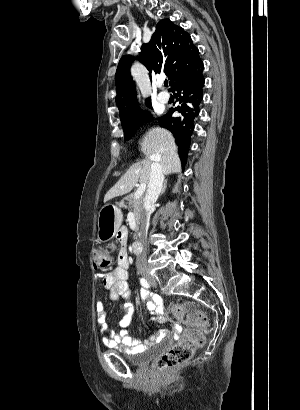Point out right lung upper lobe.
<instances>
[{"instance_id":"right-lung-upper-lobe-1","label":"right lung upper lobe","mask_w":300,"mask_h":410,"mask_svg":"<svg viewBox=\"0 0 300 410\" xmlns=\"http://www.w3.org/2000/svg\"><path fill=\"white\" fill-rule=\"evenodd\" d=\"M135 59L142 62L153 76L165 72L172 85L199 59V51L183 28L176 26L169 19H163L156 25L150 42L142 45L140 55ZM135 59L123 56L115 74L116 104L121 123L134 118L141 110L130 75V66ZM145 103L150 104V99ZM184 150L187 152L189 147L185 146Z\"/></svg>"}]
</instances>
